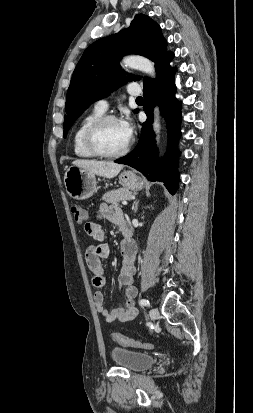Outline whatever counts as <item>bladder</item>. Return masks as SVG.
Returning <instances> with one entry per match:
<instances>
[{
  "label": "bladder",
  "mask_w": 253,
  "mask_h": 413,
  "mask_svg": "<svg viewBox=\"0 0 253 413\" xmlns=\"http://www.w3.org/2000/svg\"><path fill=\"white\" fill-rule=\"evenodd\" d=\"M110 353L116 365L135 372L146 370L156 362L152 354L142 351L114 347Z\"/></svg>",
  "instance_id": "31cf9c89"
}]
</instances>
